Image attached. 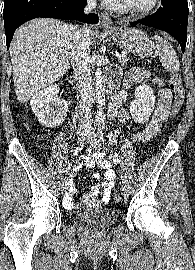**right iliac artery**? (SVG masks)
Returning <instances> with one entry per match:
<instances>
[{"label":"right iliac artery","mask_w":195,"mask_h":270,"mask_svg":"<svg viewBox=\"0 0 195 270\" xmlns=\"http://www.w3.org/2000/svg\"><path fill=\"white\" fill-rule=\"evenodd\" d=\"M84 142H81L78 147L76 148L75 150V154H77L80 150H82V148L84 147ZM71 166H72V163H70L66 169V174H69L70 173V170H71Z\"/></svg>","instance_id":"82829eb1"}]
</instances>
